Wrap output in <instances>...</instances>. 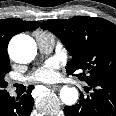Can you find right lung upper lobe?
<instances>
[{
    "label": "right lung upper lobe",
    "instance_id": "cb5924a9",
    "mask_svg": "<svg viewBox=\"0 0 116 116\" xmlns=\"http://www.w3.org/2000/svg\"><path fill=\"white\" fill-rule=\"evenodd\" d=\"M38 27V22L23 21L18 18L0 20V64L9 60L7 45L14 35Z\"/></svg>",
    "mask_w": 116,
    "mask_h": 116
}]
</instances>
